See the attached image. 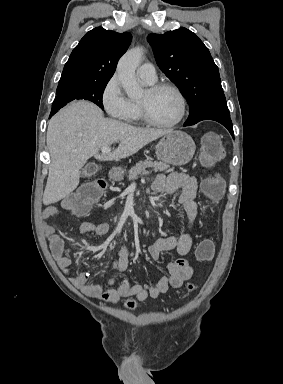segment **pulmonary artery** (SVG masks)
Wrapping results in <instances>:
<instances>
[{
	"label": "pulmonary artery",
	"mask_w": 283,
	"mask_h": 384,
	"mask_svg": "<svg viewBox=\"0 0 283 384\" xmlns=\"http://www.w3.org/2000/svg\"><path fill=\"white\" fill-rule=\"evenodd\" d=\"M137 75L140 79L148 84L155 83L157 80V73L155 67L150 63H143L137 69Z\"/></svg>",
	"instance_id": "pulmonary-artery-1"
}]
</instances>
